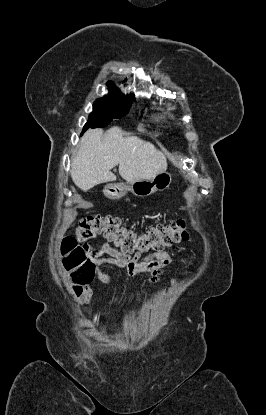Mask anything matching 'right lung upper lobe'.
I'll return each mask as SVG.
<instances>
[{
	"instance_id": "obj_1",
	"label": "right lung upper lobe",
	"mask_w": 266,
	"mask_h": 415,
	"mask_svg": "<svg viewBox=\"0 0 266 415\" xmlns=\"http://www.w3.org/2000/svg\"><path fill=\"white\" fill-rule=\"evenodd\" d=\"M108 87L111 89V92L108 96H105L101 99H106V98H113V97H133L132 95H123L120 90L114 85L113 82H109L108 83Z\"/></svg>"
}]
</instances>
